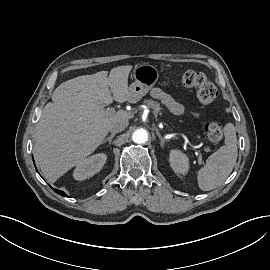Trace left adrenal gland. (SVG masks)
<instances>
[{
    "instance_id": "a2214340",
    "label": "left adrenal gland",
    "mask_w": 270,
    "mask_h": 270,
    "mask_svg": "<svg viewBox=\"0 0 270 270\" xmlns=\"http://www.w3.org/2000/svg\"><path fill=\"white\" fill-rule=\"evenodd\" d=\"M156 134H157V136H158V138H159V140H160V145H161L162 147H164L165 140L162 138V136H161V134H160V132H159L158 129H156Z\"/></svg>"
}]
</instances>
